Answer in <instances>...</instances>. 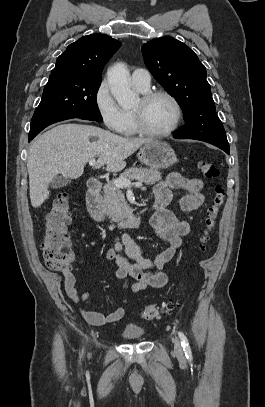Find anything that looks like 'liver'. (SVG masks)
<instances>
[{"label": "liver", "instance_id": "liver-1", "mask_svg": "<svg viewBox=\"0 0 265 407\" xmlns=\"http://www.w3.org/2000/svg\"><path fill=\"white\" fill-rule=\"evenodd\" d=\"M152 139L125 138L108 130L75 123L61 124L46 131L32 143L28 158L30 200L34 208L49 198L48 186L61 174L77 179L86 163L98 156L93 166L106 165L107 171H120L125 159Z\"/></svg>", "mask_w": 265, "mask_h": 407}]
</instances>
